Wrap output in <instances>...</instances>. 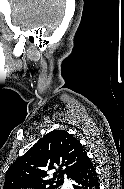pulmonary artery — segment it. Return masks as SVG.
I'll list each match as a JSON object with an SVG mask.
<instances>
[{"mask_svg":"<svg viewBox=\"0 0 124 189\" xmlns=\"http://www.w3.org/2000/svg\"><path fill=\"white\" fill-rule=\"evenodd\" d=\"M70 182L68 180H65L64 187L69 189L70 188Z\"/></svg>","mask_w":124,"mask_h":189,"instance_id":"1","label":"pulmonary artery"}]
</instances>
